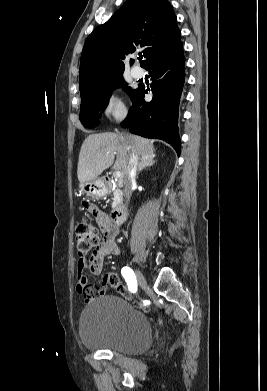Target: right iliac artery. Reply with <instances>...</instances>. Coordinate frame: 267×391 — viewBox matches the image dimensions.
Here are the masks:
<instances>
[{"label": "right iliac artery", "instance_id": "right-iliac-artery-1", "mask_svg": "<svg viewBox=\"0 0 267 391\" xmlns=\"http://www.w3.org/2000/svg\"><path fill=\"white\" fill-rule=\"evenodd\" d=\"M122 276L125 278L129 290L135 292L137 289V281L134 272L129 267H123L121 270Z\"/></svg>", "mask_w": 267, "mask_h": 391}]
</instances>
